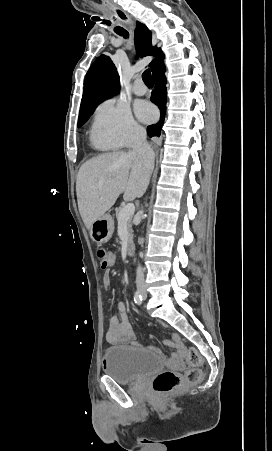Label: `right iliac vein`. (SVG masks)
<instances>
[{
  "instance_id": "63e3f726",
  "label": "right iliac vein",
  "mask_w": 272,
  "mask_h": 451,
  "mask_svg": "<svg viewBox=\"0 0 272 451\" xmlns=\"http://www.w3.org/2000/svg\"><path fill=\"white\" fill-rule=\"evenodd\" d=\"M141 292L143 293V292H144V290L142 289V290H141Z\"/></svg>"
}]
</instances>
